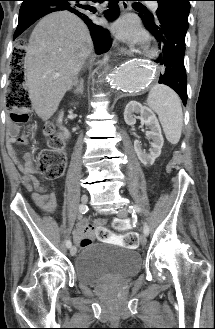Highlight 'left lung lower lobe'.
Segmentation results:
<instances>
[{
    "label": "left lung lower lobe",
    "mask_w": 215,
    "mask_h": 329,
    "mask_svg": "<svg viewBox=\"0 0 215 329\" xmlns=\"http://www.w3.org/2000/svg\"><path fill=\"white\" fill-rule=\"evenodd\" d=\"M147 30L155 37L161 53L156 60L163 68L159 83L175 90L184 105L187 102V78L184 66L185 36L187 29L176 21L159 17L156 22H146L140 15Z\"/></svg>",
    "instance_id": "1"
}]
</instances>
